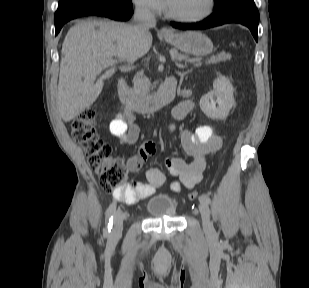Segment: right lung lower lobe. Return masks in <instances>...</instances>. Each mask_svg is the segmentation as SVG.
I'll use <instances>...</instances> for the list:
<instances>
[{"mask_svg":"<svg viewBox=\"0 0 309 288\" xmlns=\"http://www.w3.org/2000/svg\"><path fill=\"white\" fill-rule=\"evenodd\" d=\"M89 15L104 16L114 20L125 21L132 15V3L94 0L81 4L65 14L54 18L56 35L61 30L62 26L69 20Z\"/></svg>","mask_w":309,"mask_h":288,"instance_id":"right-lung-lower-lobe-1","label":"right lung lower lobe"}]
</instances>
